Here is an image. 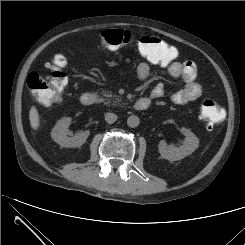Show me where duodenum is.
Masks as SVG:
<instances>
[{
	"mask_svg": "<svg viewBox=\"0 0 245 245\" xmlns=\"http://www.w3.org/2000/svg\"><path fill=\"white\" fill-rule=\"evenodd\" d=\"M80 102L83 106H91L98 102V96L92 92H85L80 97ZM149 98H140L135 101L134 108L137 111L146 110L150 106Z\"/></svg>",
	"mask_w": 245,
	"mask_h": 245,
	"instance_id": "1",
	"label": "duodenum"
}]
</instances>
